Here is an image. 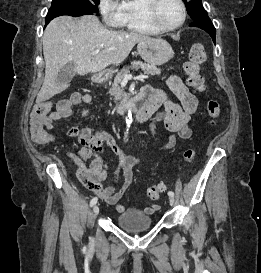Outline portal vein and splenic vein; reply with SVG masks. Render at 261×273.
Segmentation results:
<instances>
[{"instance_id": "obj_1", "label": "portal vein and splenic vein", "mask_w": 261, "mask_h": 273, "mask_svg": "<svg viewBox=\"0 0 261 273\" xmlns=\"http://www.w3.org/2000/svg\"><path fill=\"white\" fill-rule=\"evenodd\" d=\"M114 48H110L109 50H113ZM100 52V49H96L92 52V55H96ZM144 78H148V75H146L145 73L144 74H140L136 77H133L131 74H126L124 76V80H131V79H137V80H141V79H144Z\"/></svg>"}]
</instances>
